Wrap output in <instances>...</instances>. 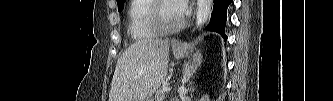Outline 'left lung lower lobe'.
Instances as JSON below:
<instances>
[{
    "label": "left lung lower lobe",
    "mask_w": 333,
    "mask_h": 101,
    "mask_svg": "<svg viewBox=\"0 0 333 101\" xmlns=\"http://www.w3.org/2000/svg\"><path fill=\"white\" fill-rule=\"evenodd\" d=\"M232 1L233 0H214L211 21L207 27L208 30L221 34L225 41L227 39V36L225 35V26L227 20L226 10Z\"/></svg>",
    "instance_id": "1"
}]
</instances>
